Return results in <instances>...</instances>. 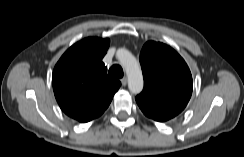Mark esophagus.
Masks as SVG:
<instances>
[{
    "label": "esophagus",
    "mask_w": 244,
    "mask_h": 157,
    "mask_svg": "<svg viewBox=\"0 0 244 157\" xmlns=\"http://www.w3.org/2000/svg\"><path fill=\"white\" fill-rule=\"evenodd\" d=\"M121 84H122V86H126L127 85V78L126 77H123L121 79Z\"/></svg>",
    "instance_id": "1"
}]
</instances>
